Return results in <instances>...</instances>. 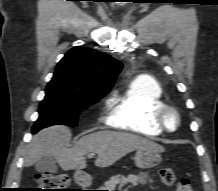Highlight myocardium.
I'll return each mask as SVG.
<instances>
[{"label": "myocardium", "mask_w": 218, "mask_h": 191, "mask_svg": "<svg viewBox=\"0 0 218 191\" xmlns=\"http://www.w3.org/2000/svg\"><path fill=\"white\" fill-rule=\"evenodd\" d=\"M169 113H173L176 117V125L173 128H170L167 124V115ZM155 120L159 127L166 132H175L179 129L181 125V114L179 110L172 106L164 104L162 107L158 109V111L155 114Z\"/></svg>", "instance_id": "myocardium-1"}]
</instances>
